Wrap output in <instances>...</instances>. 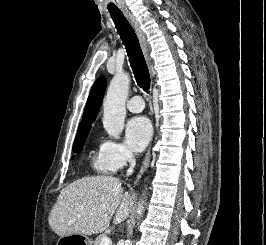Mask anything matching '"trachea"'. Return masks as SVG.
Returning a JSON list of instances; mask_svg holds the SVG:
<instances>
[{"instance_id":"obj_1","label":"trachea","mask_w":266,"mask_h":245,"mask_svg":"<svg viewBox=\"0 0 266 245\" xmlns=\"http://www.w3.org/2000/svg\"><path fill=\"white\" fill-rule=\"evenodd\" d=\"M110 14L125 45L138 86L144 92H148L150 89V74L137 35L123 13L114 11L110 12Z\"/></svg>"}]
</instances>
